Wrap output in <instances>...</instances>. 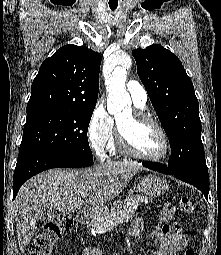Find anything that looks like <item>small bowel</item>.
Instances as JSON below:
<instances>
[{
  "label": "small bowel",
  "mask_w": 221,
  "mask_h": 255,
  "mask_svg": "<svg viewBox=\"0 0 221 255\" xmlns=\"http://www.w3.org/2000/svg\"><path fill=\"white\" fill-rule=\"evenodd\" d=\"M143 220L136 217L130 225L128 234L137 237L142 232ZM154 248V255H180L188 246V239L183 235L178 223L167 224L160 228L151 244ZM82 255H103V251L96 246H90L83 250Z\"/></svg>",
  "instance_id": "c3829d8e"
}]
</instances>
